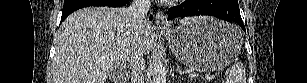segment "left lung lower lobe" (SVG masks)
Masks as SVG:
<instances>
[{
  "instance_id": "obj_1",
  "label": "left lung lower lobe",
  "mask_w": 307,
  "mask_h": 83,
  "mask_svg": "<svg viewBox=\"0 0 307 83\" xmlns=\"http://www.w3.org/2000/svg\"><path fill=\"white\" fill-rule=\"evenodd\" d=\"M168 20L181 16L210 15L236 22L245 32L237 0H186L169 9Z\"/></svg>"
}]
</instances>
